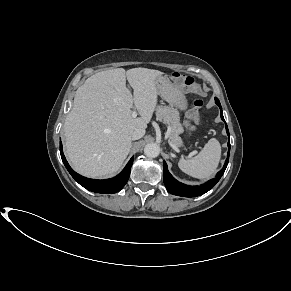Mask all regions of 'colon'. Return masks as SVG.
Wrapping results in <instances>:
<instances>
[{
  "label": "colon",
  "mask_w": 291,
  "mask_h": 291,
  "mask_svg": "<svg viewBox=\"0 0 291 291\" xmlns=\"http://www.w3.org/2000/svg\"><path fill=\"white\" fill-rule=\"evenodd\" d=\"M172 76H173V78H174L176 81H178V82H180V83H182V84H184V85H186V86H192V85L195 84V81H194V79H193L192 77L187 76V75H184V74H182V73L175 72V73H173ZM202 104H203V103H202L201 100H196V101L194 102V110L200 108V107L202 106ZM194 118H195V115L192 116V119H194Z\"/></svg>",
  "instance_id": "1"
}]
</instances>
